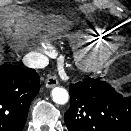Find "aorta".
<instances>
[{"label":"aorta","mask_w":131,"mask_h":131,"mask_svg":"<svg viewBox=\"0 0 131 131\" xmlns=\"http://www.w3.org/2000/svg\"><path fill=\"white\" fill-rule=\"evenodd\" d=\"M52 99L57 104H65L68 102L69 95L66 89L61 87H55L52 90Z\"/></svg>","instance_id":"1"}]
</instances>
